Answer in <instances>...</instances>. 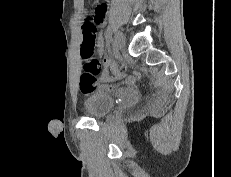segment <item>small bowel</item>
Instances as JSON below:
<instances>
[{
    "mask_svg": "<svg viewBox=\"0 0 231 177\" xmlns=\"http://www.w3.org/2000/svg\"><path fill=\"white\" fill-rule=\"evenodd\" d=\"M107 10V4L106 3H100L96 6L95 12L93 15L92 22L95 24V26H101L104 22L105 13ZM95 47L98 49L99 53L102 51V40L100 38H96V44ZM105 67L110 68L117 76H121V74L116 70V67L113 63H111L108 60H104ZM126 84L131 86L132 85V79L127 78ZM110 90H118V87L116 85H109Z\"/></svg>",
    "mask_w": 231,
    "mask_h": 177,
    "instance_id": "c3829d8e",
    "label": "small bowel"
}]
</instances>
